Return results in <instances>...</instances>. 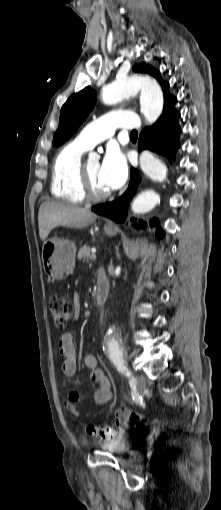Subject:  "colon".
I'll use <instances>...</instances> for the list:
<instances>
[{"mask_svg": "<svg viewBox=\"0 0 221 510\" xmlns=\"http://www.w3.org/2000/svg\"><path fill=\"white\" fill-rule=\"evenodd\" d=\"M49 307L53 322L59 328H64L73 317V305L63 295H53L50 298ZM118 414L122 415L126 423L129 425H136L142 419V415L137 412L119 411ZM86 432L89 435L107 439L112 438L114 435L111 428L97 427L92 424L87 425Z\"/></svg>", "mask_w": 221, "mask_h": 510, "instance_id": "colon-1", "label": "colon"}]
</instances>
